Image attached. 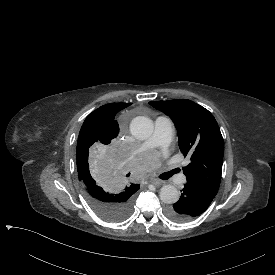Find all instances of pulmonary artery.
Listing matches in <instances>:
<instances>
[{
    "label": "pulmonary artery",
    "instance_id": "e3ab8cb5",
    "mask_svg": "<svg viewBox=\"0 0 275 275\" xmlns=\"http://www.w3.org/2000/svg\"><path fill=\"white\" fill-rule=\"evenodd\" d=\"M169 119L159 117L155 121V131L145 145H142L139 150L132 152L131 156L127 157L128 161L134 160L139 154L149 151L152 146H158L161 143L162 150L166 154H171L175 150L174 130Z\"/></svg>",
    "mask_w": 275,
    "mask_h": 275
}]
</instances>
